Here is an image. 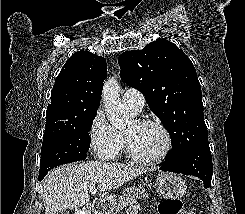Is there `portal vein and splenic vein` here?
I'll list each match as a JSON object with an SVG mask.
<instances>
[{
	"instance_id": "portal-vein-and-splenic-vein-1",
	"label": "portal vein and splenic vein",
	"mask_w": 245,
	"mask_h": 214,
	"mask_svg": "<svg viewBox=\"0 0 245 214\" xmlns=\"http://www.w3.org/2000/svg\"><path fill=\"white\" fill-rule=\"evenodd\" d=\"M96 191H97V189H96L95 186L90 187V192H91L92 194L96 193Z\"/></svg>"
}]
</instances>
